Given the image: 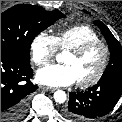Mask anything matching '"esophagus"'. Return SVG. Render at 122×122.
<instances>
[{
	"instance_id": "obj_1",
	"label": "esophagus",
	"mask_w": 122,
	"mask_h": 122,
	"mask_svg": "<svg viewBox=\"0 0 122 122\" xmlns=\"http://www.w3.org/2000/svg\"><path fill=\"white\" fill-rule=\"evenodd\" d=\"M41 89L45 90V91H55L56 89L55 88H51V87H48V86H42Z\"/></svg>"
}]
</instances>
